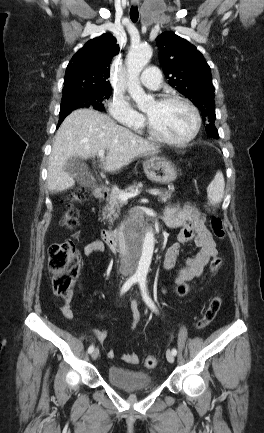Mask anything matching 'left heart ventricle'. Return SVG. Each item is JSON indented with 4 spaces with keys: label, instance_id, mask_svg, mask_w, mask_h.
Returning <instances> with one entry per match:
<instances>
[{
    "label": "left heart ventricle",
    "instance_id": "left-heart-ventricle-1",
    "mask_svg": "<svg viewBox=\"0 0 264 433\" xmlns=\"http://www.w3.org/2000/svg\"><path fill=\"white\" fill-rule=\"evenodd\" d=\"M145 113L154 127L164 136L181 140L188 136L194 126L192 112L183 104H150Z\"/></svg>",
    "mask_w": 264,
    "mask_h": 433
}]
</instances>
